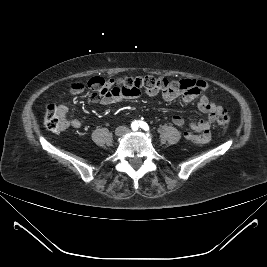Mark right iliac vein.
I'll use <instances>...</instances> for the list:
<instances>
[{"instance_id": "63e3f726", "label": "right iliac vein", "mask_w": 267, "mask_h": 267, "mask_svg": "<svg viewBox=\"0 0 267 267\" xmlns=\"http://www.w3.org/2000/svg\"><path fill=\"white\" fill-rule=\"evenodd\" d=\"M127 132V128L124 126H120L115 130V135L120 137L123 136Z\"/></svg>"}]
</instances>
